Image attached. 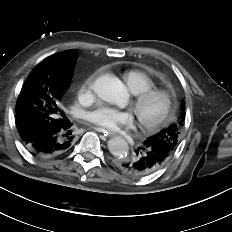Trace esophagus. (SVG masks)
Here are the masks:
<instances>
[{
  "instance_id": "1",
  "label": "esophagus",
  "mask_w": 232,
  "mask_h": 232,
  "mask_svg": "<svg viewBox=\"0 0 232 232\" xmlns=\"http://www.w3.org/2000/svg\"><path fill=\"white\" fill-rule=\"evenodd\" d=\"M94 129L97 132L102 133L105 137H111L112 135H114L113 133L109 132V130H105V129L100 128V127H94Z\"/></svg>"
}]
</instances>
